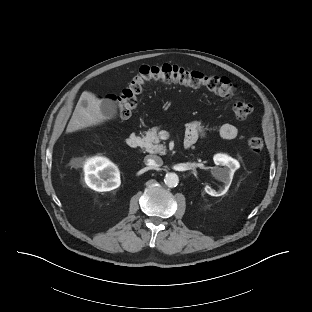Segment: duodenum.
Masks as SVG:
<instances>
[{
  "label": "duodenum",
  "instance_id": "1",
  "mask_svg": "<svg viewBox=\"0 0 312 312\" xmlns=\"http://www.w3.org/2000/svg\"><path fill=\"white\" fill-rule=\"evenodd\" d=\"M126 144H127V146L130 147V148H137V147H139L140 144H141V139H140L139 136L132 134V135H130V136L127 137V139H126ZM184 147H185L186 149H188V148L190 147V144H189V143H185V144H184Z\"/></svg>",
  "mask_w": 312,
  "mask_h": 312
}]
</instances>
